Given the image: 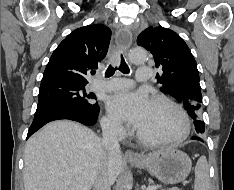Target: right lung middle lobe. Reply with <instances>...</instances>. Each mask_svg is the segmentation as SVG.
<instances>
[{"instance_id": "obj_1", "label": "right lung middle lobe", "mask_w": 234, "mask_h": 190, "mask_svg": "<svg viewBox=\"0 0 234 190\" xmlns=\"http://www.w3.org/2000/svg\"><path fill=\"white\" fill-rule=\"evenodd\" d=\"M85 85H76L64 81H49L41 83L39 101L35 114L51 106H67L88 113L97 111L98 105L93 93L87 94Z\"/></svg>"}]
</instances>
